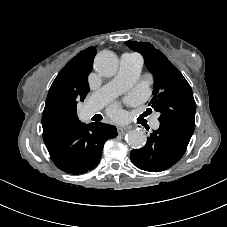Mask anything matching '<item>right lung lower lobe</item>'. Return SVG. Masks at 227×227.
<instances>
[{
	"instance_id": "1",
	"label": "right lung lower lobe",
	"mask_w": 227,
	"mask_h": 227,
	"mask_svg": "<svg viewBox=\"0 0 227 227\" xmlns=\"http://www.w3.org/2000/svg\"><path fill=\"white\" fill-rule=\"evenodd\" d=\"M116 136L113 125L79 123L45 144L57 168L77 175L93 170L102 156L104 142Z\"/></svg>"
}]
</instances>
